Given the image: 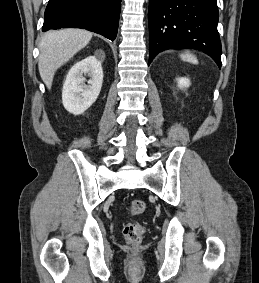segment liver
<instances>
[{"label":"liver","instance_id":"6515ba94","mask_svg":"<svg viewBox=\"0 0 259 283\" xmlns=\"http://www.w3.org/2000/svg\"><path fill=\"white\" fill-rule=\"evenodd\" d=\"M92 33L84 29L68 28L46 33L40 44L38 68L48 89L54 74L91 40Z\"/></svg>","mask_w":259,"mask_h":283}]
</instances>
